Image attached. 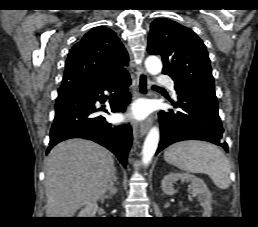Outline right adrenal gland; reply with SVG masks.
Here are the masks:
<instances>
[{
  "mask_svg": "<svg viewBox=\"0 0 258 227\" xmlns=\"http://www.w3.org/2000/svg\"><path fill=\"white\" fill-rule=\"evenodd\" d=\"M117 180L118 178L116 176V168H114L113 176L108 184L109 196H113L117 193L118 189L115 187V183L118 184Z\"/></svg>",
  "mask_w": 258,
  "mask_h": 227,
  "instance_id": "2a0ac1e0",
  "label": "right adrenal gland"
}]
</instances>
